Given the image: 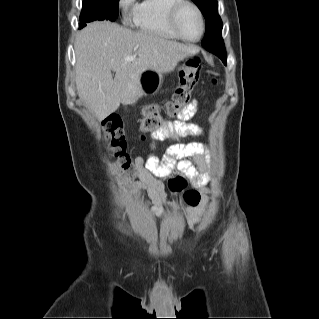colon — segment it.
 Listing matches in <instances>:
<instances>
[{
	"instance_id": "obj_1",
	"label": "colon",
	"mask_w": 319,
	"mask_h": 319,
	"mask_svg": "<svg viewBox=\"0 0 319 319\" xmlns=\"http://www.w3.org/2000/svg\"><path fill=\"white\" fill-rule=\"evenodd\" d=\"M202 71L201 60L194 56L187 59L180 68V81L177 86L172 100L164 111L158 105H148L143 109V118L141 119L138 132L141 134L158 132L162 127V114L169 116L178 115L182 107H184L190 99V95L194 87L199 81ZM209 81L211 85L216 84V75L210 73ZM105 135L109 142V150L113 155L111 166L114 169L129 171L131 169V159L126 152V135L123 129L121 119L113 117L105 124ZM185 184L183 178L176 182L171 181L169 188L175 191L176 185ZM183 201L190 207H196L200 201V195L196 191H186Z\"/></svg>"
}]
</instances>
